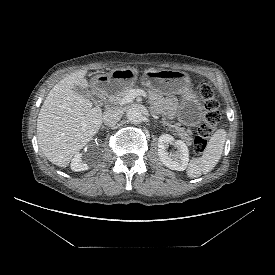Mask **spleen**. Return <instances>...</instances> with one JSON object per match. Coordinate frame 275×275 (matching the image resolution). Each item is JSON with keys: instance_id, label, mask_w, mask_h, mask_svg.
Wrapping results in <instances>:
<instances>
[{"instance_id": "spleen-1", "label": "spleen", "mask_w": 275, "mask_h": 275, "mask_svg": "<svg viewBox=\"0 0 275 275\" xmlns=\"http://www.w3.org/2000/svg\"><path fill=\"white\" fill-rule=\"evenodd\" d=\"M225 141L226 131L218 129L210 138L202 156L191 160L187 169L188 177L197 178L213 170L221 158Z\"/></svg>"}]
</instances>
